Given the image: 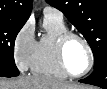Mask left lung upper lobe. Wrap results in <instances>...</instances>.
Segmentation results:
<instances>
[{"mask_svg": "<svg viewBox=\"0 0 107 89\" xmlns=\"http://www.w3.org/2000/svg\"><path fill=\"white\" fill-rule=\"evenodd\" d=\"M81 32L94 54V67L107 58V0H46Z\"/></svg>", "mask_w": 107, "mask_h": 89, "instance_id": "1", "label": "left lung upper lobe"}]
</instances>
